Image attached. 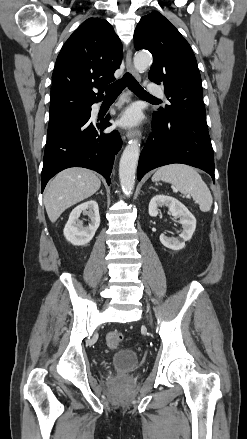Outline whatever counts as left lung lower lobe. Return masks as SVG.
Wrapping results in <instances>:
<instances>
[{
  "label": "left lung lower lobe",
  "instance_id": "left-lung-lower-lobe-1",
  "mask_svg": "<svg viewBox=\"0 0 247 439\" xmlns=\"http://www.w3.org/2000/svg\"><path fill=\"white\" fill-rule=\"evenodd\" d=\"M152 132L141 152L138 180L148 171L172 163L198 167L214 180V157L207 124L190 117L161 119L153 114Z\"/></svg>",
  "mask_w": 247,
  "mask_h": 439
}]
</instances>
